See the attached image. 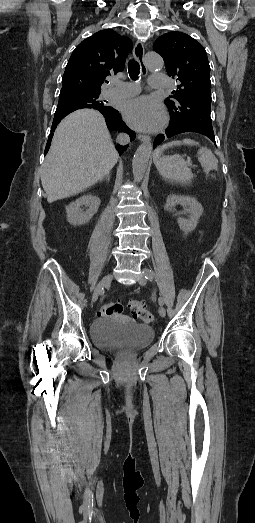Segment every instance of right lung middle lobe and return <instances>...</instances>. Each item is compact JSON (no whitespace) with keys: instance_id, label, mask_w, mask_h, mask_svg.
Here are the masks:
<instances>
[{"instance_id":"obj_1","label":"right lung middle lobe","mask_w":255,"mask_h":523,"mask_svg":"<svg viewBox=\"0 0 255 523\" xmlns=\"http://www.w3.org/2000/svg\"><path fill=\"white\" fill-rule=\"evenodd\" d=\"M99 94V92L61 91L59 102H73L76 107H87L89 101H94L99 98Z\"/></svg>"}]
</instances>
